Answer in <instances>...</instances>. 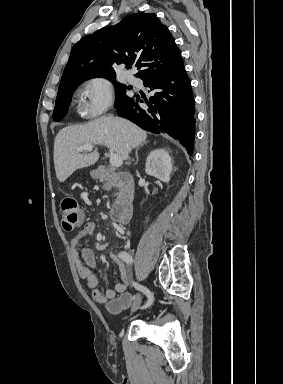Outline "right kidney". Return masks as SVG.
Wrapping results in <instances>:
<instances>
[{
    "label": "right kidney",
    "instance_id": "right-kidney-1",
    "mask_svg": "<svg viewBox=\"0 0 283 384\" xmlns=\"http://www.w3.org/2000/svg\"><path fill=\"white\" fill-rule=\"evenodd\" d=\"M146 174L158 178L161 182H170L172 160L166 150H153L145 166Z\"/></svg>",
    "mask_w": 283,
    "mask_h": 384
}]
</instances>
